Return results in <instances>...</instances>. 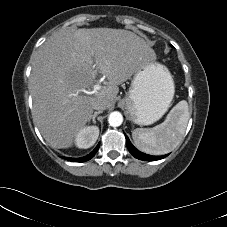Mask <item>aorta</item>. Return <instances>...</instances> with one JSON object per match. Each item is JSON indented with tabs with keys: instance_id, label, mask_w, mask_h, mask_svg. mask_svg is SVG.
Here are the masks:
<instances>
[{
	"instance_id": "762f6f07",
	"label": "aorta",
	"mask_w": 227,
	"mask_h": 227,
	"mask_svg": "<svg viewBox=\"0 0 227 227\" xmlns=\"http://www.w3.org/2000/svg\"><path fill=\"white\" fill-rule=\"evenodd\" d=\"M108 122L112 127H118L123 122V116L120 112L114 111L109 115Z\"/></svg>"
}]
</instances>
